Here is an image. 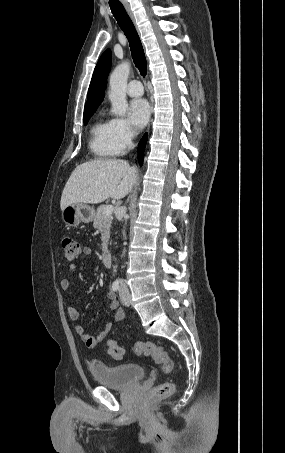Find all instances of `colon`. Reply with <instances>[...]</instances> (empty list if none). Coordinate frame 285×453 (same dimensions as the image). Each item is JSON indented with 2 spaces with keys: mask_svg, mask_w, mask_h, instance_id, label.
Instances as JSON below:
<instances>
[{
  "mask_svg": "<svg viewBox=\"0 0 285 453\" xmlns=\"http://www.w3.org/2000/svg\"><path fill=\"white\" fill-rule=\"evenodd\" d=\"M62 248L64 256L68 261L77 258L81 252L80 244L72 237H64L62 239ZM108 352L114 359H122L124 356V349L112 339L107 341ZM135 354L148 356L152 358L155 363L160 365L164 373L173 375L175 373V366L168 353L160 346L150 341H135L132 344ZM175 385L172 381L165 382L157 385L149 391L150 398L162 399L170 396L174 391Z\"/></svg>",
  "mask_w": 285,
  "mask_h": 453,
  "instance_id": "5ec220e1",
  "label": "colon"
}]
</instances>
